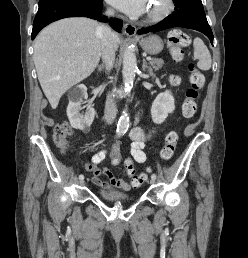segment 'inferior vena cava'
Masks as SVG:
<instances>
[{"mask_svg":"<svg viewBox=\"0 0 248 258\" xmlns=\"http://www.w3.org/2000/svg\"><path fill=\"white\" fill-rule=\"evenodd\" d=\"M114 14L113 10H108L106 15L112 16ZM102 40H101V56L103 63L105 64V69L110 71L113 68L115 61V48L113 44V32L108 25L101 26ZM116 115V103L111 95L107 96L106 106H105V121L107 124H112Z\"/></svg>","mask_w":248,"mask_h":258,"instance_id":"inferior-vena-cava-1","label":"inferior vena cava"}]
</instances>
